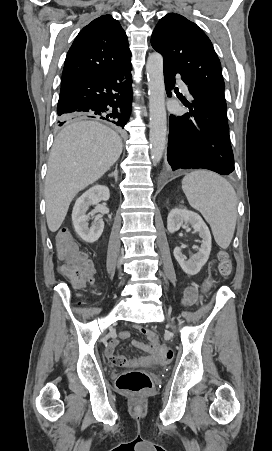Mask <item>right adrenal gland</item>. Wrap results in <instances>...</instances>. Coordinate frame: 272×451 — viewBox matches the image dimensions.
Wrapping results in <instances>:
<instances>
[{"instance_id":"2a0ac1e0","label":"right adrenal gland","mask_w":272,"mask_h":451,"mask_svg":"<svg viewBox=\"0 0 272 451\" xmlns=\"http://www.w3.org/2000/svg\"><path fill=\"white\" fill-rule=\"evenodd\" d=\"M113 176L115 178V182H117V180H118L117 168H116L115 172H112V174H109V178H113Z\"/></svg>"}]
</instances>
